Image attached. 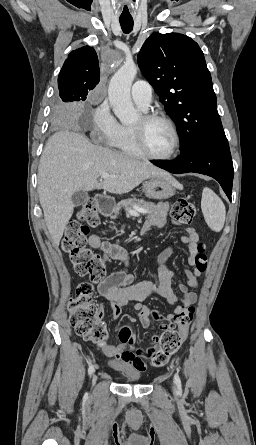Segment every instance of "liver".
<instances>
[{
  "label": "liver",
  "instance_id": "1",
  "mask_svg": "<svg viewBox=\"0 0 256 445\" xmlns=\"http://www.w3.org/2000/svg\"><path fill=\"white\" fill-rule=\"evenodd\" d=\"M108 173L115 178L98 182ZM153 176H170L165 171L108 148L93 145L84 135L61 130L47 141L38 167V193L44 220L55 246L72 217V195L76 191L104 189L114 194L132 191ZM177 187H181L176 182Z\"/></svg>",
  "mask_w": 256,
  "mask_h": 445
}]
</instances>
